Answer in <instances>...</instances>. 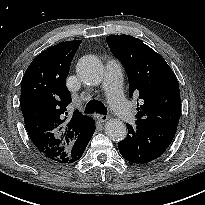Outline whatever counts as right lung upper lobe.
I'll return each instance as SVG.
<instances>
[{
  "label": "right lung upper lobe",
  "mask_w": 205,
  "mask_h": 205,
  "mask_svg": "<svg viewBox=\"0 0 205 205\" xmlns=\"http://www.w3.org/2000/svg\"><path fill=\"white\" fill-rule=\"evenodd\" d=\"M81 40L66 41L41 52L21 82L20 105L30 139L48 159L67 163L69 149L91 123L78 110L68 115L71 102L65 81Z\"/></svg>",
  "instance_id": "cb5924a9"
}]
</instances>
